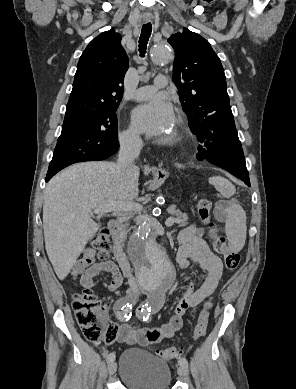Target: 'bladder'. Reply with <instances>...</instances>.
<instances>
[{
	"mask_svg": "<svg viewBox=\"0 0 296 389\" xmlns=\"http://www.w3.org/2000/svg\"><path fill=\"white\" fill-rule=\"evenodd\" d=\"M119 377L128 389H169L168 364L139 348L125 350L119 360Z\"/></svg>",
	"mask_w": 296,
	"mask_h": 389,
	"instance_id": "31cf9c89",
	"label": "bladder"
}]
</instances>
